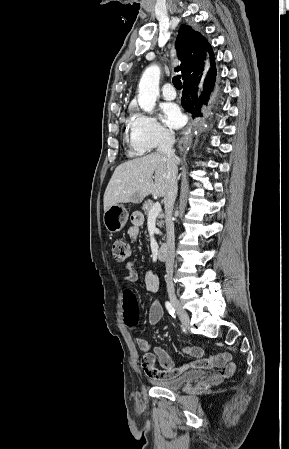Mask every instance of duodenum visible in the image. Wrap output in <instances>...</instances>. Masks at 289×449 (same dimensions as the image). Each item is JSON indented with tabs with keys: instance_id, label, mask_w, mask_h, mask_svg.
Instances as JSON below:
<instances>
[{
	"instance_id": "1",
	"label": "duodenum",
	"mask_w": 289,
	"mask_h": 449,
	"mask_svg": "<svg viewBox=\"0 0 289 449\" xmlns=\"http://www.w3.org/2000/svg\"><path fill=\"white\" fill-rule=\"evenodd\" d=\"M168 254V245L166 243H162L159 245L157 249V256L159 260H166Z\"/></svg>"
}]
</instances>
